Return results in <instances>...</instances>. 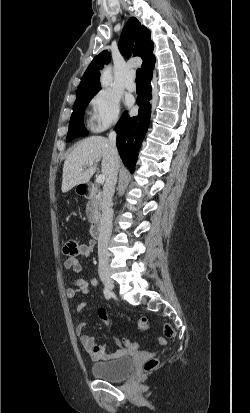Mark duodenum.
I'll return each instance as SVG.
<instances>
[{"instance_id":"duodenum-1","label":"duodenum","mask_w":250,"mask_h":413,"mask_svg":"<svg viewBox=\"0 0 250 413\" xmlns=\"http://www.w3.org/2000/svg\"><path fill=\"white\" fill-rule=\"evenodd\" d=\"M97 192H98V190L91 183L83 184L81 186V189H80L81 195H83L86 198L92 197ZM101 230H102V225H101L100 219L97 218V219L93 220V222L91 223V226H90L91 236L95 239L98 238L101 234Z\"/></svg>"}]
</instances>
